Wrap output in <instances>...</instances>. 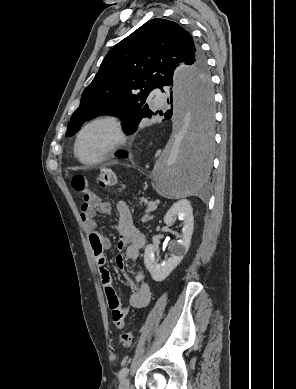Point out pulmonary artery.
<instances>
[{"label":"pulmonary artery","mask_w":296,"mask_h":389,"mask_svg":"<svg viewBox=\"0 0 296 389\" xmlns=\"http://www.w3.org/2000/svg\"><path fill=\"white\" fill-rule=\"evenodd\" d=\"M153 105L155 107H161L165 104V95L160 90H154L152 93Z\"/></svg>","instance_id":"pulmonary-artery-1"}]
</instances>
